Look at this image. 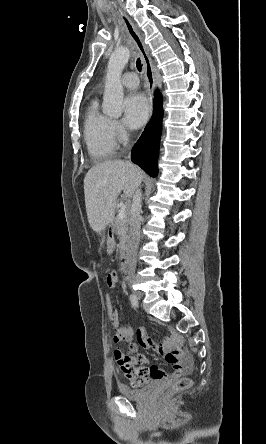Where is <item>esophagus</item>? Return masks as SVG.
Returning a JSON list of instances; mask_svg holds the SVG:
<instances>
[{
    "label": "esophagus",
    "instance_id": "esophagus-1",
    "mask_svg": "<svg viewBox=\"0 0 266 444\" xmlns=\"http://www.w3.org/2000/svg\"><path fill=\"white\" fill-rule=\"evenodd\" d=\"M119 15L124 23V26L126 28V31L129 35V37L131 38V40L135 44L136 48L138 49V51L142 57L145 77H146V81H147V94H148V99H149V103H150V111L152 114L154 91H155V78H154V71H153L151 59L149 57L148 51L145 47V44H144L140 34L138 33L135 25L131 21V19L126 15L125 12H123L120 9H119Z\"/></svg>",
    "mask_w": 266,
    "mask_h": 444
}]
</instances>
